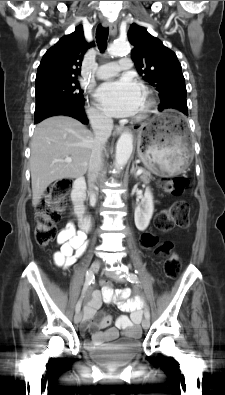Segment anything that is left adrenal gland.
Here are the masks:
<instances>
[{"instance_id":"obj_1","label":"left adrenal gland","mask_w":225,"mask_h":395,"mask_svg":"<svg viewBox=\"0 0 225 395\" xmlns=\"http://www.w3.org/2000/svg\"><path fill=\"white\" fill-rule=\"evenodd\" d=\"M130 173L134 175L135 178H137V173H136V168H135V163L132 164V168L130 170Z\"/></svg>"}]
</instances>
